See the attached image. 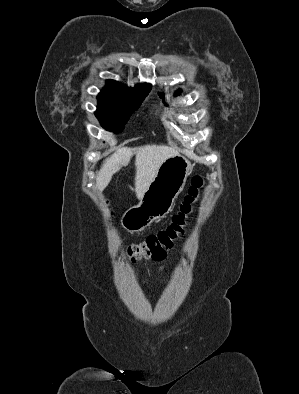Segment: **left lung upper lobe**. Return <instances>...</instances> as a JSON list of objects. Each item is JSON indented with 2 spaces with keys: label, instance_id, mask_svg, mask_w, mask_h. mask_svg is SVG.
<instances>
[{
  "label": "left lung upper lobe",
  "instance_id": "1",
  "mask_svg": "<svg viewBox=\"0 0 299 394\" xmlns=\"http://www.w3.org/2000/svg\"><path fill=\"white\" fill-rule=\"evenodd\" d=\"M180 93V91L179 92H177L176 94H179ZM160 97H163V94H160Z\"/></svg>",
  "mask_w": 299,
  "mask_h": 394
}]
</instances>
